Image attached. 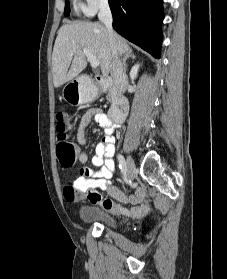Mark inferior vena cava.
<instances>
[{
	"label": "inferior vena cava",
	"instance_id": "inferior-vena-cava-1",
	"mask_svg": "<svg viewBox=\"0 0 227 279\" xmlns=\"http://www.w3.org/2000/svg\"><path fill=\"white\" fill-rule=\"evenodd\" d=\"M99 20L105 25L109 35L110 47L112 52L111 76L114 80L116 87L125 92L128 86L126 72L124 71L123 64L118 56L116 47L113 42V27H112V14L107 0H104L100 5L98 13Z\"/></svg>",
	"mask_w": 227,
	"mask_h": 279
}]
</instances>
